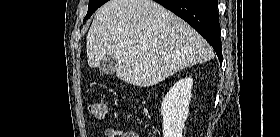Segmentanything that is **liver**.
Returning <instances> with one entry per match:
<instances>
[{
  "instance_id": "1",
  "label": "liver",
  "mask_w": 280,
  "mask_h": 137,
  "mask_svg": "<svg viewBox=\"0 0 280 137\" xmlns=\"http://www.w3.org/2000/svg\"><path fill=\"white\" fill-rule=\"evenodd\" d=\"M86 48L90 67L113 56L116 76L140 87L214 57L211 46L190 25L152 0L108 1L95 14Z\"/></svg>"
}]
</instances>
